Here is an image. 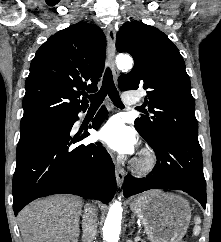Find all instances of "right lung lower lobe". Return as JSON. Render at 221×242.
<instances>
[{
  "mask_svg": "<svg viewBox=\"0 0 221 242\" xmlns=\"http://www.w3.org/2000/svg\"><path fill=\"white\" fill-rule=\"evenodd\" d=\"M79 112L20 127L12 187L15 215L31 201L52 194H74L106 204L113 198L116 178L106 149L98 142L75 145L89 136L71 132ZM106 116L102 108L92 127L97 129Z\"/></svg>",
  "mask_w": 221,
  "mask_h": 242,
  "instance_id": "98d812e1",
  "label": "right lung lower lobe"
}]
</instances>
